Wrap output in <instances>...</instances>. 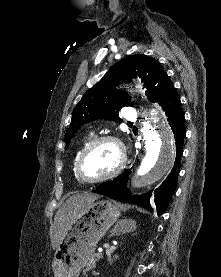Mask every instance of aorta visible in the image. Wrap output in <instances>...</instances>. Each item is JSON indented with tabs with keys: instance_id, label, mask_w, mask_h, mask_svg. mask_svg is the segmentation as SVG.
I'll list each match as a JSON object with an SVG mask.
<instances>
[{
	"instance_id": "1",
	"label": "aorta",
	"mask_w": 221,
	"mask_h": 277,
	"mask_svg": "<svg viewBox=\"0 0 221 277\" xmlns=\"http://www.w3.org/2000/svg\"><path fill=\"white\" fill-rule=\"evenodd\" d=\"M145 156L136 172V188L146 187L166 175L174 163V139L163 115L155 112L143 123Z\"/></svg>"
}]
</instances>
